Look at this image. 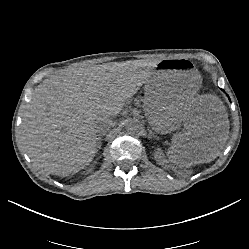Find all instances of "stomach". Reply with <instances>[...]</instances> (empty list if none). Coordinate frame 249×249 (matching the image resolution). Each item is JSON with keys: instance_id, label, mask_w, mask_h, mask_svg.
Returning <instances> with one entry per match:
<instances>
[{"instance_id": "obj_1", "label": "stomach", "mask_w": 249, "mask_h": 249, "mask_svg": "<svg viewBox=\"0 0 249 249\" xmlns=\"http://www.w3.org/2000/svg\"><path fill=\"white\" fill-rule=\"evenodd\" d=\"M194 65L182 59H165L157 65L145 84V122L155 133L169 134L182 123L186 103L201 87Z\"/></svg>"}]
</instances>
